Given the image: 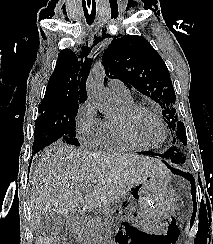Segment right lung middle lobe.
Segmentation results:
<instances>
[{"label":"right lung middle lobe","mask_w":213,"mask_h":244,"mask_svg":"<svg viewBox=\"0 0 213 244\" xmlns=\"http://www.w3.org/2000/svg\"><path fill=\"white\" fill-rule=\"evenodd\" d=\"M78 103L43 102L35 122L33 151H39L57 140L79 145L75 133Z\"/></svg>","instance_id":"dd1d6c3e"}]
</instances>
